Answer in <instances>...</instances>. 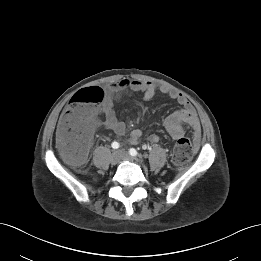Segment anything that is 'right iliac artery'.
Wrapping results in <instances>:
<instances>
[{"label":"right iliac artery","instance_id":"1","mask_svg":"<svg viewBox=\"0 0 261 261\" xmlns=\"http://www.w3.org/2000/svg\"><path fill=\"white\" fill-rule=\"evenodd\" d=\"M111 146H112L113 149H118L120 145H119L118 142H115V141H114V142L111 144Z\"/></svg>","mask_w":261,"mask_h":261}]
</instances>
